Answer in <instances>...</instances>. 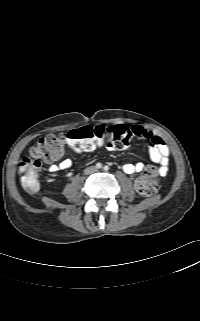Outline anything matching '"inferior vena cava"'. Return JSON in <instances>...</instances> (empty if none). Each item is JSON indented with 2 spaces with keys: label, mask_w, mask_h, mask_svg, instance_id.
Here are the masks:
<instances>
[{
  "label": "inferior vena cava",
  "mask_w": 200,
  "mask_h": 321,
  "mask_svg": "<svg viewBox=\"0 0 200 321\" xmlns=\"http://www.w3.org/2000/svg\"><path fill=\"white\" fill-rule=\"evenodd\" d=\"M96 171H97V169H96L95 167L91 166V167H87V168L84 170V173H85L86 175H88V174H92V173H94V172H96Z\"/></svg>",
  "instance_id": "602c4592"
}]
</instances>
